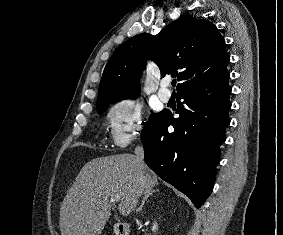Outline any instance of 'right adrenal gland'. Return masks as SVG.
I'll return each instance as SVG.
<instances>
[{
  "instance_id": "2a0ac1e0",
  "label": "right adrenal gland",
  "mask_w": 283,
  "mask_h": 235,
  "mask_svg": "<svg viewBox=\"0 0 283 235\" xmlns=\"http://www.w3.org/2000/svg\"><path fill=\"white\" fill-rule=\"evenodd\" d=\"M158 191H159L158 189H156V190H155V189H154V190H148V191L145 193L144 197H143V200H142V202H141V205H140L138 211H141V210H142V207H143V205L145 204V202L147 201V199H148L150 196H152L153 193L158 192Z\"/></svg>"
}]
</instances>
